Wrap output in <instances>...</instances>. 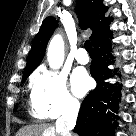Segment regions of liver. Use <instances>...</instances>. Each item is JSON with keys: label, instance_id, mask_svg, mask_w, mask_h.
<instances>
[{"label": "liver", "instance_id": "obj_1", "mask_svg": "<svg viewBox=\"0 0 136 136\" xmlns=\"http://www.w3.org/2000/svg\"><path fill=\"white\" fill-rule=\"evenodd\" d=\"M16 136H60L52 125L35 124L21 128Z\"/></svg>", "mask_w": 136, "mask_h": 136}]
</instances>
